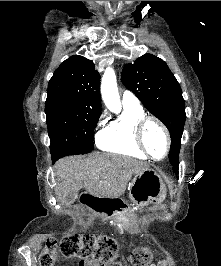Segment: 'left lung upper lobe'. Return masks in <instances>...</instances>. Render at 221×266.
<instances>
[{
    "instance_id": "obj_1",
    "label": "left lung upper lobe",
    "mask_w": 221,
    "mask_h": 266,
    "mask_svg": "<svg viewBox=\"0 0 221 266\" xmlns=\"http://www.w3.org/2000/svg\"><path fill=\"white\" fill-rule=\"evenodd\" d=\"M121 81L143 105L168 128L171 136L169 161L178 166L181 137L186 120L182 90L167 64L144 54L122 70Z\"/></svg>"
}]
</instances>
